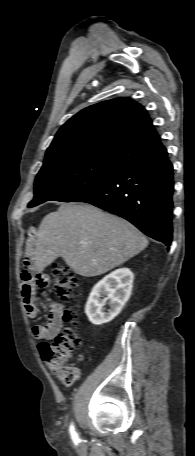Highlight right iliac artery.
<instances>
[{
    "label": "right iliac artery",
    "mask_w": 195,
    "mask_h": 456,
    "mask_svg": "<svg viewBox=\"0 0 195 456\" xmlns=\"http://www.w3.org/2000/svg\"><path fill=\"white\" fill-rule=\"evenodd\" d=\"M70 434H71V437H72L73 440H77L78 439V435H77V433L75 431V428H74L73 424H71V426H70Z\"/></svg>",
    "instance_id": "1"
}]
</instances>
